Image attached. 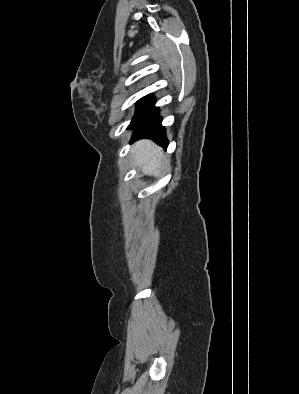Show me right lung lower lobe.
Here are the masks:
<instances>
[{
    "instance_id": "obj_1",
    "label": "right lung lower lobe",
    "mask_w": 299,
    "mask_h": 394,
    "mask_svg": "<svg viewBox=\"0 0 299 394\" xmlns=\"http://www.w3.org/2000/svg\"><path fill=\"white\" fill-rule=\"evenodd\" d=\"M154 103L152 95H147L137 102L135 116L129 125V128H136L132 141L139 138H149L167 148L165 129L161 125V118L158 117L159 109L154 107Z\"/></svg>"
}]
</instances>
